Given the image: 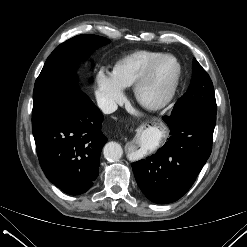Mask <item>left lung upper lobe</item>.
<instances>
[{
  "label": "left lung upper lobe",
  "instance_id": "left-lung-upper-lobe-1",
  "mask_svg": "<svg viewBox=\"0 0 247 247\" xmlns=\"http://www.w3.org/2000/svg\"><path fill=\"white\" fill-rule=\"evenodd\" d=\"M192 79L187 92L175 103L172 113L191 106L200 105L211 112H217L214 87L208 73L193 58Z\"/></svg>",
  "mask_w": 247,
  "mask_h": 247
}]
</instances>
